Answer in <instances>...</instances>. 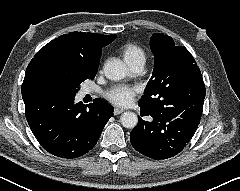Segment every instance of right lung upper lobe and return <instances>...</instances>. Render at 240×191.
Masks as SVG:
<instances>
[{"mask_svg": "<svg viewBox=\"0 0 240 191\" xmlns=\"http://www.w3.org/2000/svg\"><path fill=\"white\" fill-rule=\"evenodd\" d=\"M116 37L75 31L52 40L29 63L21 87L22 95L33 93L35 80L48 69L97 72L101 49Z\"/></svg>", "mask_w": 240, "mask_h": 191, "instance_id": "obj_1", "label": "right lung upper lobe"}]
</instances>
